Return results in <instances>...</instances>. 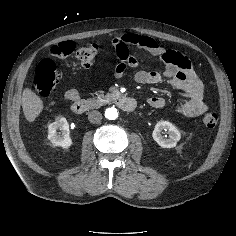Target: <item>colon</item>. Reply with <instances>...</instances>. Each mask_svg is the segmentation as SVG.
<instances>
[{"instance_id":"5ec220e1","label":"colon","mask_w":236,"mask_h":236,"mask_svg":"<svg viewBox=\"0 0 236 236\" xmlns=\"http://www.w3.org/2000/svg\"><path fill=\"white\" fill-rule=\"evenodd\" d=\"M75 51V44L71 41L61 42L53 45L49 52L55 59H65ZM96 44H87L76 51V57L83 66L92 64L98 54ZM61 81V74L57 71L54 62L51 59L42 60L36 68L34 80L35 89L41 96H48L56 91ZM202 122L206 128L212 129L218 123V116L213 112L206 113Z\"/></svg>"}]
</instances>
